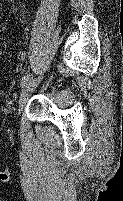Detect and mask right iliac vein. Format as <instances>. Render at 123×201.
I'll return each instance as SVG.
<instances>
[{
	"label": "right iliac vein",
	"mask_w": 123,
	"mask_h": 201,
	"mask_svg": "<svg viewBox=\"0 0 123 201\" xmlns=\"http://www.w3.org/2000/svg\"><path fill=\"white\" fill-rule=\"evenodd\" d=\"M43 79L42 76H39L38 78L30 80L22 89L19 102H18V115H20L21 111L23 110L24 106L26 105L29 97L35 90V88L39 85L41 80Z\"/></svg>",
	"instance_id": "1"
}]
</instances>
